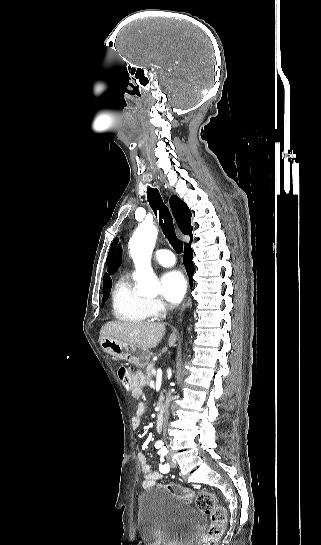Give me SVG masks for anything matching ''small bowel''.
I'll list each match as a JSON object with an SVG mask.
<instances>
[{"mask_svg": "<svg viewBox=\"0 0 321 545\" xmlns=\"http://www.w3.org/2000/svg\"><path fill=\"white\" fill-rule=\"evenodd\" d=\"M142 380L138 376L134 379V389L132 394L135 398L141 396V383ZM146 411V406L144 403L139 402L136 410V415L132 418V425L134 428H138L141 424V419ZM138 460L141 466V471L144 477L143 487L150 488L156 486L159 480L162 478L163 474L160 471L153 470L147 462L146 456L140 452L138 454Z\"/></svg>", "mask_w": 321, "mask_h": 545, "instance_id": "small-bowel-1", "label": "small bowel"}]
</instances>
